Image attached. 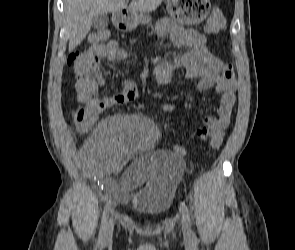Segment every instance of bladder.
I'll return each mask as SVG.
<instances>
[{"mask_svg": "<svg viewBox=\"0 0 295 250\" xmlns=\"http://www.w3.org/2000/svg\"><path fill=\"white\" fill-rule=\"evenodd\" d=\"M147 166L151 180L134 191L131 207L147 216H159L171 206L184 164L181 157L171 151L153 153Z\"/></svg>", "mask_w": 295, "mask_h": 250, "instance_id": "bladder-1", "label": "bladder"}]
</instances>
